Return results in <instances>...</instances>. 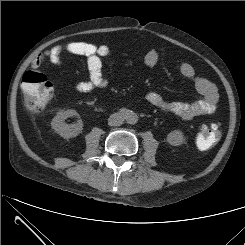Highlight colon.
Here are the masks:
<instances>
[{"instance_id":"5ec220e1","label":"colon","mask_w":245,"mask_h":245,"mask_svg":"<svg viewBox=\"0 0 245 245\" xmlns=\"http://www.w3.org/2000/svg\"><path fill=\"white\" fill-rule=\"evenodd\" d=\"M24 104L30 111L41 110L54 96L55 89L49 78L39 70L28 69L21 82ZM221 137L218 125L203 126L196 142L200 149L214 146Z\"/></svg>"}]
</instances>
